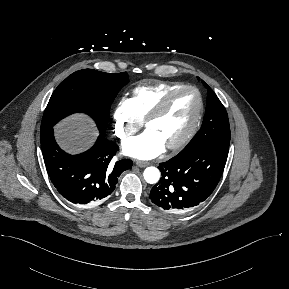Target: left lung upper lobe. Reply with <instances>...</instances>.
<instances>
[{
  "instance_id": "obj_1",
  "label": "left lung upper lobe",
  "mask_w": 289,
  "mask_h": 289,
  "mask_svg": "<svg viewBox=\"0 0 289 289\" xmlns=\"http://www.w3.org/2000/svg\"><path fill=\"white\" fill-rule=\"evenodd\" d=\"M202 83L207 89V104L201 129L177 157L206 145L229 147L230 126L226 109L213 90L205 82Z\"/></svg>"
}]
</instances>
